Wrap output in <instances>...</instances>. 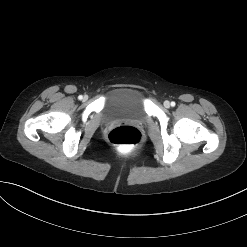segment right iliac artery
Wrapping results in <instances>:
<instances>
[{"instance_id": "obj_1", "label": "right iliac artery", "mask_w": 247, "mask_h": 247, "mask_svg": "<svg viewBox=\"0 0 247 247\" xmlns=\"http://www.w3.org/2000/svg\"><path fill=\"white\" fill-rule=\"evenodd\" d=\"M78 99H79V100H82V99H83V96H82V95H79V96H78Z\"/></svg>"}]
</instances>
